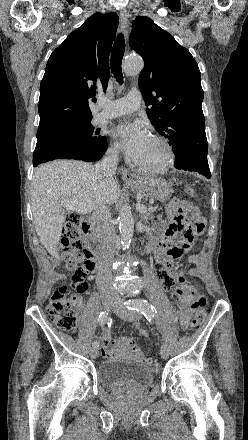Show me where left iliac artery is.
I'll list each match as a JSON object with an SVG mask.
<instances>
[{"label": "left iliac artery", "instance_id": "1", "mask_svg": "<svg viewBox=\"0 0 248 440\" xmlns=\"http://www.w3.org/2000/svg\"><path fill=\"white\" fill-rule=\"evenodd\" d=\"M124 305L130 310L141 312L149 321L153 320L157 315L155 307L145 299L128 300Z\"/></svg>", "mask_w": 248, "mask_h": 440}]
</instances>
